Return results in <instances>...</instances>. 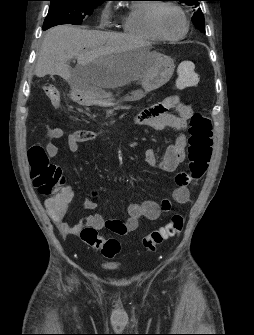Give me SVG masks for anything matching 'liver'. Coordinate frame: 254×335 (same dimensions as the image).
<instances>
[{
  "label": "liver",
  "mask_w": 254,
  "mask_h": 335,
  "mask_svg": "<svg viewBox=\"0 0 254 335\" xmlns=\"http://www.w3.org/2000/svg\"><path fill=\"white\" fill-rule=\"evenodd\" d=\"M143 46L137 38L123 33L58 25L45 34L35 74L38 77L58 75L73 89L121 87L141 79L151 68V54L123 56ZM73 58L77 59L75 69L68 64ZM95 61H99L98 66L87 67Z\"/></svg>",
  "instance_id": "6515ba94"
}]
</instances>
